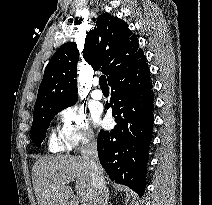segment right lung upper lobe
I'll return each instance as SVG.
<instances>
[{
  "label": "right lung upper lobe",
  "mask_w": 212,
  "mask_h": 205,
  "mask_svg": "<svg viewBox=\"0 0 212 205\" xmlns=\"http://www.w3.org/2000/svg\"><path fill=\"white\" fill-rule=\"evenodd\" d=\"M143 55L137 36L125 21L110 14L98 17L87 33L83 57L94 70L108 76L138 60ZM75 42L63 44L52 56L40 84L34 110L45 105H69L77 101V62Z\"/></svg>",
  "instance_id": "1"
}]
</instances>
